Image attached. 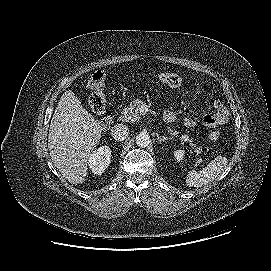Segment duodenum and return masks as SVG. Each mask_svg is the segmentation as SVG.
I'll return each mask as SVG.
<instances>
[{
    "mask_svg": "<svg viewBox=\"0 0 271 271\" xmlns=\"http://www.w3.org/2000/svg\"><path fill=\"white\" fill-rule=\"evenodd\" d=\"M113 119H114V116L112 115L102 118L99 122L100 129L103 131L108 130L112 124Z\"/></svg>",
    "mask_w": 271,
    "mask_h": 271,
    "instance_id": "410a0bca",
    "label": "duodenum"
}]
</instances>
